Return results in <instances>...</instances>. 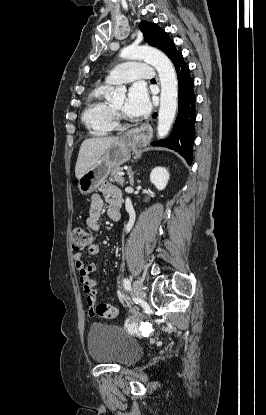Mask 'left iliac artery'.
Wrapping results in <instances>:
<instances>
[{"label":"left iliac artery","mask_w":266,"mask_h":415,"mask_svg":"<svg viewBox=\"0 0 266 415\" xmlns=\"http://www.w3.org/2000/svg\"><path fill=\"white\" fill-rule=\"evenodd\" d=\"M123 285H124V288H125L126 290H130V288H131V283H130V280H129L128 278H125V279L123 280Z\"/></svg>","instance_id":"1"}]
</instances>
